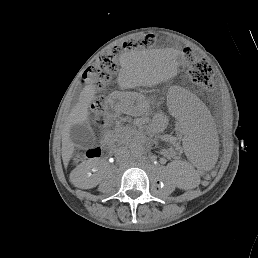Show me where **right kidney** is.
<instances>
[{
	"instance_id": "1",
	"label": "right kidney",
	"mask_w": 258,
	"mask_h": 258,
	"mask_svg": "<svg viewBox=\"0 0 258 258\" xmlns=\"http://www.w3.org/2000/svg\"><path fill=\"white\" fill-rule=\"evenodd\" d=\"M90 176H91V173L84 169H79V170L74 171V178L78 182L84 181L87 178H89ZM96 184H98V181L91 182V185L89 186V188L95 186Z\"/></svg>"
}]
</instances>
